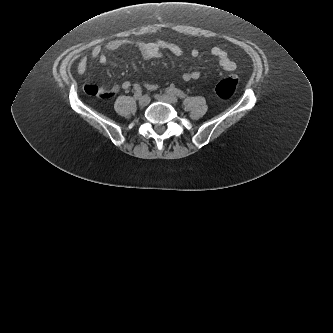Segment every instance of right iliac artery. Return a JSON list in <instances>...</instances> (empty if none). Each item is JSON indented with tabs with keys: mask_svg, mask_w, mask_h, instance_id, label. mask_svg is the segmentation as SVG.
<instances>
[{
	"mask_svg": "<svg viewBox=\"0 0 333 333\" xmlns=\"http://www.w3.org/2000/svg\"><path fill=\"white\" fill-rule=\"evenodd\" d=\"M141 95H142V89L140 88L135 92L134 96L136 99H139Z\"/></svg>",
	"mask_w": 333,
	"mask_h": 333,
	"instance_id": "right-iliac-artery-1",
	"label": "right iliac artery"
}]
</instances>
